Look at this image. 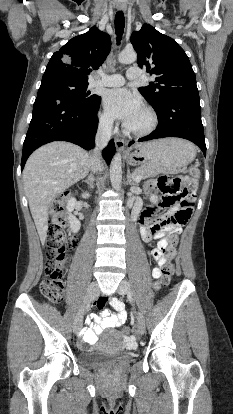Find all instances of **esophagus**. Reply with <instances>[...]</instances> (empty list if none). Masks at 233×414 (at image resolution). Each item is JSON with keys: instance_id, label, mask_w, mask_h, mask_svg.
Here are the masks:
<instances>
[{"instance_id": "esophagus-1", "label": "esophagus", "mask_w": 233, "mask_h": 414, "mask_svg": "<svg viewBox=\"0 0 233 414\" xmlns=\"http://www.w3.org/2000/svg\"><path fill=\"white\" fill-rule=\"evenodd\" d=\"M117 7H118V9L120 11H124V12L126 11V4L123 3V2L119 3ZM115 146H116V149L118 151L126 152V150H125V142H124L123 139L116 138L115 139Z\"/></svg>"}]
</instances>
